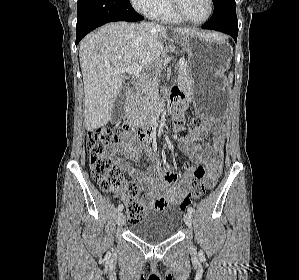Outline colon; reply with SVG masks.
Listing matches in <instances>:
<instances>
[{"label":"colon","instance_id":"obj_1","mask_svg":"<svg viewBox=\"0 0 299 280\" xmlns=\"http://www.w3.org/2000/svg\"><path fill=\"white\" fill-rule=\"evenodd\" d=\"M202 123L200 117H194L186 129V136L202 133ZM122 138L123 133L112 127H101L90 131L88 134L90 169L92 178L104 192L122 191L128 194V198L125 200L127 219L130 223H135L144 217L146 205L142 199H138L136 185L124 180L121 165L106 152L107 147L119 143ZM194 176L193 190L179 204L181 210H185L194 201L203 197L206 190L213 185L211 182L205 181L206 169L203 164L194 168Z\"/></svg>","mask_w":299,"mask_h":280}]
</instances>
